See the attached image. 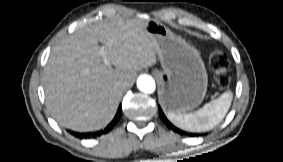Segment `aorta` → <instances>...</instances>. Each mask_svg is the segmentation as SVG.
<instances>
[{
    "label": "aorta",
    "instance_id": "762f6f07",
    "mask_svg": "<svg viewBox=\"0 0 283 162\" xmlns=\"http://www.w3.org/2000/svg\"><path fill=\"white\" fill-rule=\"evenodd\" d=\"M137 87L144 93H153L155 90V81L149 75H141L137 79Z\"/></svg>",
    "mask_w": 283,
    "mask_h": 162
}]
</instances>
